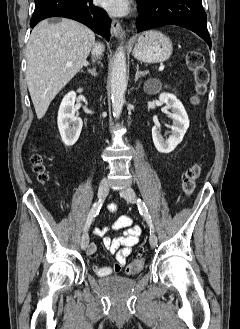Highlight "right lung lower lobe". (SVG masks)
Segmentation results:
<instances>
[{
  "instance_id": "right-lung-lower-lobe-1",
  "label": "right lung lower lobe",
  "mask_w": 240,
  "mask_h": 329,
  "mask_svg": "<svg viewBox=\"0 0 240 329\" xmlns=\"http://www.w3.org/2000/svg\"><path fill=\"white\" fill-rule=\"evenodd\" d=\"M49 17H65L79 21L107 40L110 39V19L92 0H35L30 26Z\"/></svg>"
}]
</instances>
